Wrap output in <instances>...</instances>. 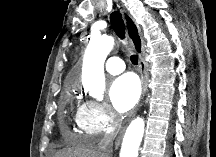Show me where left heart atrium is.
<instances>
[{"mask_svg": "<svg viewBox=\"0 0 216 157\" xmlns=\"http://www.w3.org/2000/svg\"><path fill=\"white\" fill-rule=\"evenodd\" d=\"M112 105L119 113L130 111L140 96L139 81L133 74H125L116 78L109 89Z\"/></svg>", "mask_w": 216, "mask_h": 157, "instance_id": "1", "label": "left heart atrium"}]
</instances>
